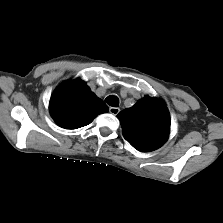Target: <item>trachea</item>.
I'll return each instance as SVG.
<instances>
[{
  "label": "trachea",
  "mask_w": 223,
  "mask_h": 223,
  "mask_svg": "<svg viewBox=\"0 0 223 223\" xmlns=\"http://www.w3.org/2000/svg\"><path fill=\"white\" fill-rule=\"evenodd\" d=\"M105 102L112 106V107H118L119 106V99L117 96L114 95H109L106 99Z\"/></svg>",
  "instance_id": "3493384b"
}]
</instances>
